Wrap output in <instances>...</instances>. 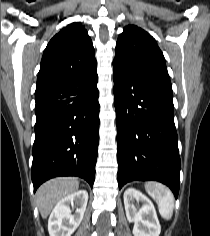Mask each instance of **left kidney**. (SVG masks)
<instances>
[{
    "instance_id": "1",
    "label": "left kidney",
    "mask_w": 210,
    "mask_h": 236,
    "mask_svg": "<svg viewBox=\"0 0 210 236\" xmlns=\"http://www.w3.org/2000/svg\"><path fill=\"white\" fill-rule=\"evenodd\" d=\"M142 203L137 210L133 202ZM124 206L129 222H134V236H159L161 226L152 202L135 188H128L124 192Z\"/></svg>"
}]
</instances>
